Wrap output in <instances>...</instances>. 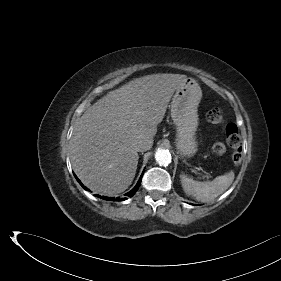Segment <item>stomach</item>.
Returning <instances> with one entry per match:
<instances>
[{
    "label": "stomach",
    "instance_id": "0dacf381",
    "mask_svg": "<svg viewBox=\"0 0 281 281\" xmlns=\"http://www.w3.org/2000/svg\"><path fill=\"white\" fill-rule=\"evenodd\" d=\"M202 97L199 84L186 78L176 89L171 102V117L176 126V147L184 157L197 152L196 131L198 127V105Z\"/></svg>",
    "mask_w": 281,
    "mask_h": 281
}]
</instances>
